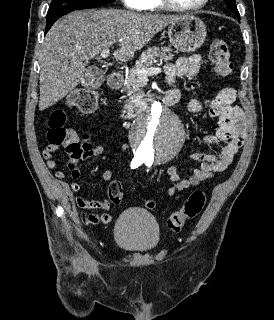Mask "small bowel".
Instances as JSON below:
<instances>
[{"label":"small bowel","mask_w":274,"mask_h":320,"mask_svg":"<svg viewBox=\"0 0 274 320\" xmlns=\"http://www.w3.org/2000/svg\"><path fill=\"white\" fill-rule=\"evenodd\" d=\"M201 58L194 54L189 57H181L172 64H168L165 68L167 82L171 85L172 91L179 93L175 83L178 77H186L189 80H196L200 72ZM236 99V90L231 85L224 86L216 95L209 101L207 114L210 118L218 120V128L215 133L208 134L203 137V141L210 147H221L220 151L208 154H193L191 159L200 164L199 168L192 171L188 177H182L176 166H169L166 169V175L172 182V185L167 189L166 194L169 197L176 193L185 191L190 187L196 186L199 183L208 180L213 175L224 171L234 160L235 156L243 146L246 138L247 121L245 114L239 106L234 105ZM188 109L191 112H200L203 110V104L197 99H192L188 102ZM56 146H45L42 154L43 159H46L50 169L58 167L54 160L53 153H56ZM122 151H129L127 144L122 145ZM104 148L101 145L91 146L87 144L81 151L72 152L75 158H90L102 155ZM51 160V161H50ZM56 177L61 179L64 177V172L56 171ZM80 173L78 170L72 172V177L77 179ZM114 177V171L108 169L104 171L103 180L110 182ZM70 189L73 193L81 191V185L78 182H72ZM75 204L84 210L108 211L111 204L108 200H88L83 195L75 197ZM81 220L85 224L99 225L111 222L112 216L108 213H81Z\"/></svg>","instance_id":"obj_1"}]
</instances>
